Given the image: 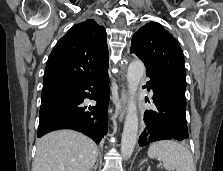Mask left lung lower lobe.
<instances>
[{
	"label": "left lung lower lobe",
	"mask_w": 223,
	"mask_h": 171,
	"mask_svg": "<svg viewBox=\"0 0 223 171\" xmlns=\"http://www.w3.org/2000/svg\"><path fill=\"white\" fill-rule=\"evenodd\" d=\"M150 78L148 90H153V110L144 113L145 130L139 138V145L146 146L159 140L189 137L186 123L185 90L165 77L146 71Z\"/></svg>",
	"instance_id": "obj_1"
}]
</instances>
